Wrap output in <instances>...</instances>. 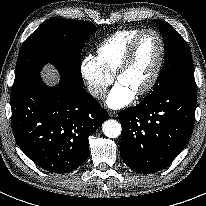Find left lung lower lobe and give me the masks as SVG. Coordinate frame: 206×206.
Wrapping results in <instances>:
<instances>
[{
    "instance_id": "obj_1",
    "label": "left lung lower lobe",
    "mask_w": 206,
    "mask_h": 206,
    "mask_svg": "<svg viewBox=\"0 0 206 206\" xmlns=\"http://www.w3.org/2000/svg\"><path fill=\"white\" fill-rule=\"evenodd\" d=\"M197 89L173 88L148 97L121 111L120 153L124 163L140 173H154L168 166L189 141L196 110Z\"/></svg>"
}]
</instances>
